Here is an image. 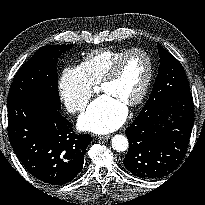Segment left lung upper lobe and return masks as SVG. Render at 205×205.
<instances>
[{"instance_id": "5c2ea615", "label": "left lung upper lobe", "mask_w": 205, "mask_h": 205, "mask_svg": "<svg viewBox=\"0 0 205 205\" xmlns=\"http://www.w3.org/2000/svg\"><path fill=\"white\" fill-rule=\"evenodd\" d=\"M159 72L150 97L143 108L153 109L168 97L182 92H190L184 68L180 62L159 43Z\"/></svg>"}]
</instances>
